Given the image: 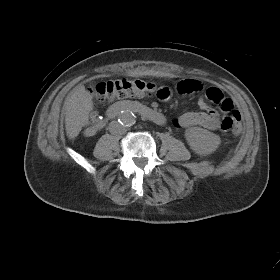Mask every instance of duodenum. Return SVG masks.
Listing matches in <instances>:
<instances>
[{
  "instance_id": "obj_1",
  "label": "duodenum",
  "mask_w": 280,
  "mask_h": 280,
  "mask_svg": "<svg viewBox=\"0 0 280 280\" xmlns=\"http://www.w3.org/2000/svg\"><path fill=\"white\" fill-rule=\"evenodd\" d=\"M127 111L137 113L159 125H163L166 122V118L162 113L139 102L116 103L108 108L106 115L108 118L113 119Z\"/></svg>"
}]
</instances>
